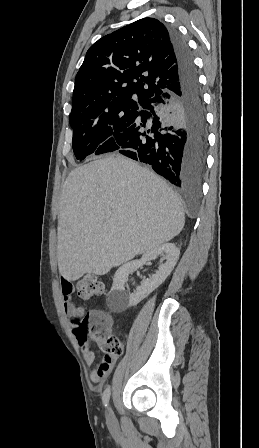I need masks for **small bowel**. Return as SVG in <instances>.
<instances>
[{"label":"small bowel","mask_w":259,"mask_h":448,"mask_svg":"<svg viewBox=\"0 0 259 448\" xmlns=\"http://www.w3.org/2000/svg\"><path fill=\"white\" fill-rule=\"evenodd\" d=\"M61 290L63 294L64 307L67 315L70 318L71 324L75 327L76 321L83 316L84 308L76 305L72 299L73 285L72 282L66 278L60 280ZM83 358L87 365H92L95 362V353L88 342L81 343ZM117 357L105 356L90 372L91 381L98 383L107 378L113 367L115 366Z\"/></svg>","instance_id":"obj_1"}]
</instances>
